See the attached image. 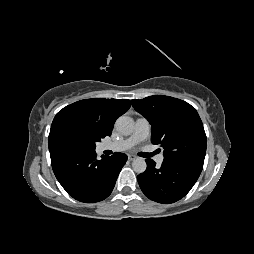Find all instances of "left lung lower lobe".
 I'll return each mask as SVG.
<instances>
[{"label": "left lung lower lobe", "mask_w": 254, "mask_h": 254, "mask_svg": "<svg viewBox=\"0 0 254 254\" xmlns=\"http://www.w3.org/2000/svg\"><path fill=\"white\" fill-rule=\"evenodd\" d=\"M147 169L137 176L143 193L151 200L169 204L183 198L196 183L203 166L186 161H163L160 168L146 159Z\"/></svg>", "instance_id": "0a47b994"}]
</instances>
